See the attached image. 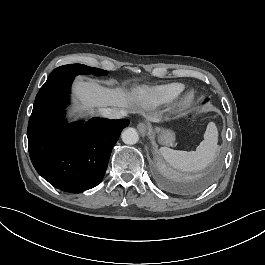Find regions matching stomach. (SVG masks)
I'll return each instance as SVG.
<instances>
[{
  "label": "stomach",
  "mask_w": 265,
  "mask_h": 265,
  "mask_svg": "<svg viewBox=\"0 0 265 265\" xmlns=\"http://www.w3.org/2000/svg\"><path fill=\"white\" fill-rule=\"evenodd\" d=\"M159 140L164 145H172L174 142V134L172 132L163 131L159 137Z\"/></svg>",
  "instance_id": "obj_1"
}]
</instances>
